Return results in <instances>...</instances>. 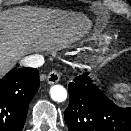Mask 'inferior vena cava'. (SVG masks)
<instances>
[{
    "mask_svg": "<svg viewBox=\"0 0 131 131\" xmlns=\"http://www.w3.org/2000/svg\"><path fill=\"white\" fill-rule=\"evenodd\" d=\"M45 63V59L43 55L41 54H33L24 57L21 60V64L26 66V67H31V68H37L42 66Z\"/></svg>",
    "mask_w": 131,
    "mask_h": 131,
    "instance_id": "inferior-vena-cava-1",
    "label": "inferior vena cava"
}]
</instances>
